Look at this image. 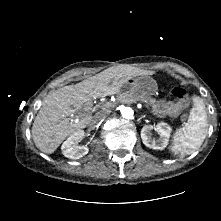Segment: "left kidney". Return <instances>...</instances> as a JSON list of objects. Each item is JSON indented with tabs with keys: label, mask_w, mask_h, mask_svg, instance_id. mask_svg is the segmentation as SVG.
I'll return each mask as SVG.
<instances>
[{
	"label": "left kidney",
	"mask_w": 221,
	"mask_h": 221,
	"mask_svg": "<svg viewBox=\"0 0 221 221\" xmlns=\"http://www.w3.org/2000/svg\"><path fill=\"white\" fill-rule=\"evenodd\" d=\"M153 129L160 135L157 141L151 138V130ZM170 133V126H168L167 123L161 122L158 123L156 126L145 125L141 129V138L145 146L152 149L163 150L168 144Z\"/></svg>",
	"instance_id": "left-kidney-1"
}]
</instances>
